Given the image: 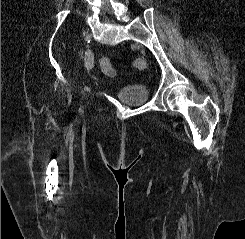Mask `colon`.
<instances>
[{
	"instance_id": "1",
	"label": "colon",
	"mask_w": 245,
	"mask_h": 239,
	"mask_svg": "<svg viewBox=\"0 0 245 239\" xmlns=\"http://www.w3.org/2000/svg\"><path fill=\"white\" fill-rule=\"evenodd\" d=\"M101 63V67H102V70L107 74V75H114L115 73V69L111 63V61L106 58V57H103L100 61Z\"/></svg>"
}]
</instances>
